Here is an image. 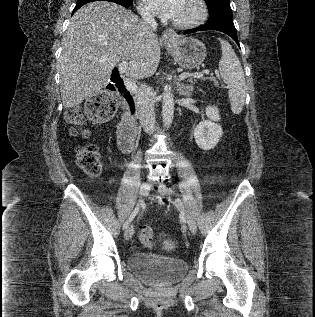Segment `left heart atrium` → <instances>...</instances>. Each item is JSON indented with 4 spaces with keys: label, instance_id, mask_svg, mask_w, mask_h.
<instances>
[{
    "label": "left heart atrium",
    "instance_id": "39dd6f15",
    "mask_svg": "<svg viewBox=\"0 0 315 317\" xmlns=\"http://www.w3.org/2000/svg\"><path fill=\"white\" fill-rule=\"evenodd\" d=\"M149 9L163 18H174L183 0H144Z\"/></svg>",
    "mask_w": 315,
    "mask_h": 317
}]
</instances>
